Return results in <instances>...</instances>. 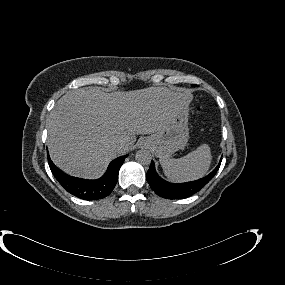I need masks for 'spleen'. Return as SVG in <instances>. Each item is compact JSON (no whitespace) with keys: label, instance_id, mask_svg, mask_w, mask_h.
<instances>
[{"label":"spleen","instance_id":"3e777b00","mask_svg":"<svg viewBox=\"0 0 285 285\" xmlns=\"http://www.w3.org/2000/svg\"><path fill=\"white\" fill-rule=\"evenodd\" d=\"M211 151L207 144L178 159L161 158L160 163L165 176L176 182L199 179L206 175L211 165Z\"/></svg>","mask_w":285,"mask_h":285}]
</instances>
